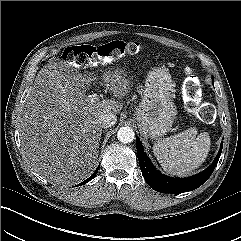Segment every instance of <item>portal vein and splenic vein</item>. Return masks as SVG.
<instances>
[{
    "mask_svg": "<svg viewBox=\"0 0 241 241\" xmlns=\"http://www.w3.org/2000/svg\"><path fill=\"white\" fill-rule=\"evenodd\" d=\"M89 97H91L92 99L94 100H98L99 99V96L98 95H89Z\"/></svg>",
    "mask_w": 241,
    "mask_h": 241,
    "instance_id": "portal-vein-and-splenic-vein-1",
    "label": "portal vein and splenic vein"
}]
</instances>
